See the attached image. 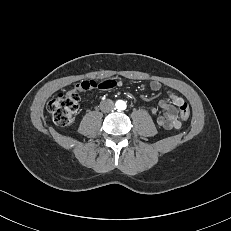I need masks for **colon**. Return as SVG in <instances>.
I'll use <instances>...</instances> for the list:
<instances>
[{
	"label": "colon",
	"mask_w": 231,
	"mask_h": 231,
	"mask_svg": "<svg viewBox=\"0 0 231 231\" xmlns=\"http://www.w3.org/2000/svg\"><path fill=\"white\" fill-rule=\"evenodd\" d=\"M80 99V95L77 91L55 95L47 105L48 112L51 114L53 122L60 126L70 124L78 110ZM179 110L181 118L187 120L190 116L188 104L185 102L181 105Z\"/></svg>",
	"instance_id": "5ec220e1"
}]
</instances>
